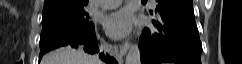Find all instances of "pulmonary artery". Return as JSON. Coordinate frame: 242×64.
Here are the masks:
<instances>
[{
	"mask_svg": "<svg viewBox=\"0 0 242 64\" xmlns=\"http://www.w3.org/2000/svg\"><path fill=\"white\" fill-rule=\"evenodd\" d=\"M121 2L122 0H102L100 4L104 9H112L119 6Z\"/></svg>",
	"mask_w": 242,
	"mask_h": 64,
	"instance_id": "pulmonary-artery-1",
	"label": "pulmonary artery"
}]
</instances>
